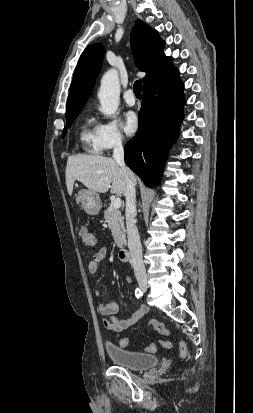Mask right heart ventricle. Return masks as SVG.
<instances>
[{
    "label": "right heart ventricle",
    "instance_id": "obj_1",
    "mask_svg": "<svg viewBox=\"0 0 253 413\" xmlns=\"http://www.w3.org/2000/svg\"><path fill=\"white\" fill-rule=\"evenodd\" d=\"M80 143L86 152L98 153L100 150L96 142L95 127L92 126V120H87L81 127L80 130Z\"/></svg>",
    "mask_w": 253,
    "mask_h": 413
}]
</instances>
